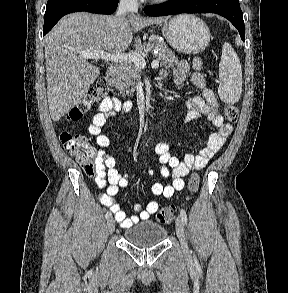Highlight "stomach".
<instances>
[{"mask_svg":"<svg viewBox=\"0 0 288 293\" xmlns=\"http://www.w3.org/2000/svg\"><path fill=\"white\" fill-rule=\"evenodd\" d=\"M163 36L177 51L184 54L202 52L209 44L211 34L204 21L194 15L182 14L165 21Z\"/></svg>","mask_w":288,"mask_h":293,"instance_id":"stomach-1","label":"stomach"}]
</instances>
